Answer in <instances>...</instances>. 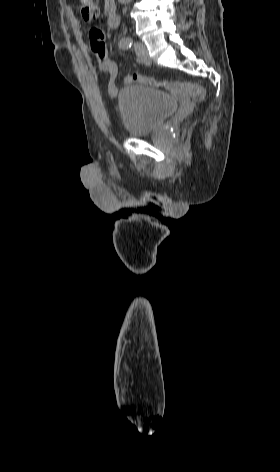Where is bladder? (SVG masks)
<instances>
[{
    "instance_id": "1",
    "label": "bladder",
    "mask_w": 280,
    "mask_h": 472,
    "mask_svg": "<svg viewBox=\"0 0 280 472\" xmlns=\"http://www.w3.org/2000/svg\"><path fill=\"white\" fill-rule=\"evenodd\" d=\"M177 101L169 94L141 85H128L118 92V111L131 138L157 131L177 109Z\"/></svg>"
}]
</instances>
